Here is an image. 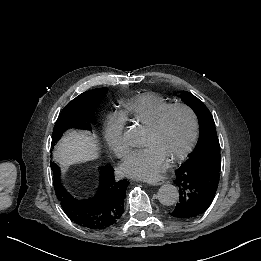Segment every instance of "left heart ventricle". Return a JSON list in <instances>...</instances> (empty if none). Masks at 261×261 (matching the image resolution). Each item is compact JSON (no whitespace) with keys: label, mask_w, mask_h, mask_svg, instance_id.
I'll use <instances>...</instances> for the list:
<instances>
[{"label":"left heart ventricle","mask_w":261,"mask_h":261,"mask_svg":"<svg viewBox=\"0 0 261 261\" xmlns=\"http://www.w3.org/2000/svg\"><path fill=\"white\" fill-rule=\"evenodd\" d=\"M142 124L144 137L141 145H155L166 160L185 147L192 132V119L181 109L165 113L155 128Z\"/></svg>","instance_id":"left-heart-ventricle-1"}]
</instances>
